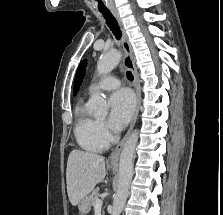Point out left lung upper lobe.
Instances as JSON below:
<instances>
[{"label": "left lung upper lobe", "mask_w": 223, "mask_h": 215, "mask_svg": "<svg viewBox=\"0 0 223 215\" xmlns=\"http://www.w3.org/2000/svg\"><path fill=\"white\" fill-rule=\"evenodd\" d=\"M86 66H87V62L86 60H83L78 69H77V72H76V79H75V93L78 91L79 89V86L82 82V78L84 77L85 75V72H86Z\"/></svg>", "instance_id": "left-lung-upper-lobe-1"}]
</instances>
